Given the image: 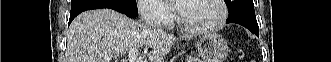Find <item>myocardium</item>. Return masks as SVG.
<instances>
[{
    "label": "myocardium",
    "instance_id": "myocardium-1",
    "mask_svg": "<svg viewBox=\"0 0 331 62\" xmlns=\"http://www.w3.org/2000/svg\"><path fill=\"white\" fill-rule=\"evenodd\" d=\"M215 1L220 6L221 15L217 22H215L214 24L209 25V26H194V25L188 24L182 17L179 5H176L175 8L177 11V22H178L179 26L182 27L184 30L192 32V33H208V32L217 31L220 28H222L228 18L227 5L224 0H215Z\"/></svg>",
    "mask_w": 331,
    "mask_h": 62
}]
</instances>
